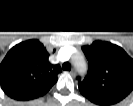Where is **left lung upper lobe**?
<instances>
[{
  "label": "left lung upper lobe",
  "mask_w": 133,
  "mask_h": 106,
  "mask_svg": "<svg viewBox=\"0 0 133 106\" xmlns=\"http://www.w3.org/2000/svg\"><path fill=\"white\" fill-rule=\"evenodd\" d=\"M89 61L87 76L78 87L83 96L98 105L123 100L133 90V59L119 46L96 41L82 48Z\"/></svg>",
  "instance_id": "5c2ea615"
}]
</instances>
